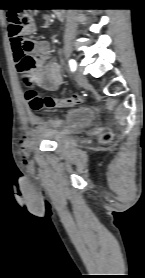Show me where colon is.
Instances as JSON below:
<instances>
[{
    "label": "colon",
    "mask_w": 145,
    "mask_h": 278,
    "mask_svg": "<svg viewBox=\"0 0 145 278\" xmlns=\"http://www.w3.org/2000/svg\"><path fill=\"white\" fill-rule=\"evenodd\" d=\"M31 23V17L27 10L23 8H15L8 14V33L14 40L15 44L23 47L29 54L33 51V45L26 39L27 28ZM37 79V75L33 72L26 75L23 80L28 84H33ZM26 100L32 111H42L52 107H71L83 100L80 95H73L65 98H57L54 96L42 97L37 90L31 86L26 91ZM105 138L110 137L108 133L104 134ZM21 152L24 155L30 153L29 145L26 140L20 141Z\"/></svg>",
    "instance_id": "1"
}]
</instances>
